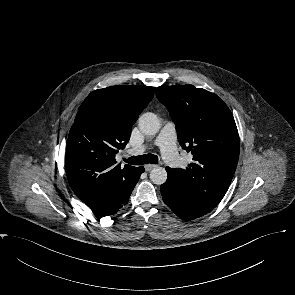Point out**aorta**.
<instances>
[{
  "instance_id": "aorta-1",
  "label": "aorta",
  "mask_w": 295,
  "mask_h": 295,
  "mask_svg": "<svg viewBox=\"0 0 295 295\" xmlns=\"http://www.w3.org/2000/svg\"><path fill=\"white\" fill-rule=\"evenodd\" d=\"M139 129L146 135H155L161 127L160 120L156 114L147 112L139 118ZM150 179L154 184L161 185L167 180V171L163 167H154L150 172Z\"/></svg>"
}]
</instances>
